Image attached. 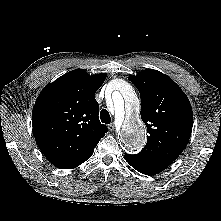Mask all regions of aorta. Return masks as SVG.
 <instances>
[{
  "mask_svg": "<svg viewBox=\"0 0 221 221\" xmlns=\"http://www.w3.org/2000/svg\"><path fill=\"white\" fill-rule=\"evenodd\" d=\"M121 91L113 92L115 120L122 125L121 142L130 153L140 151L146 142V130L138 116L139 100L132 86L123 82Z\"/></svg>",
  "mask_w": 221,
  "mask_h": 221,
  "instance_id": "aorta-1",
  "label": "aorta"
}]
</instances>
